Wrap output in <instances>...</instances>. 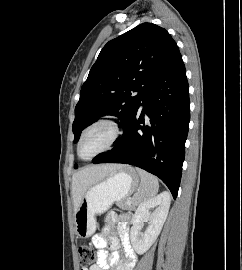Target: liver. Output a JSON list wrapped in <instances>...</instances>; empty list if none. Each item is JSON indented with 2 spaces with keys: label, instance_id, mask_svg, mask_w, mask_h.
<instances>
[{
  "label": "liver",
  "instance_id": "liver-1",
  "mask_svg": "<svg viewBox=\"0 0 242 270\" xmlns=\"http://www.w3.org/2000/svg\"><path fill=\"white\" fill-rule=\"evenodd\" d=\"M122 167L124 166L119 164L88 166L74 173L72 177L74 211L78 210L86 191L91 186L103 181L112 172Z\"/></svg>",
  "mask_w": 242,
  "mask_h": 270
}]
</instances>
